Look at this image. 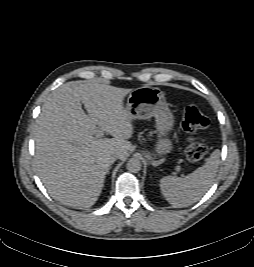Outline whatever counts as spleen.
I'll use <instances>...</instances> for the list:
<instances>
[{
	"label": "spleen",
	"mask_w": 254,
	"mask_h": 267,
	"mask_svg": "<svg viewBox=\"0 0 254 267\" xmlns=\"http://www.w3.org/2000/svg\"><path fill=\"white\" fill-rule=\"evenodd\" d=\"M219 155V150L213 151L204 165L183 178H161L159 186L164 198L175 208L187 207L199 201L214 182L220 163Z\"/></svg>",
	"instance_id": "spleen-1"
}]
</instances>
